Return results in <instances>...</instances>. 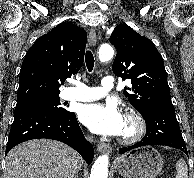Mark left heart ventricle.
<instances>
[{"label":"left heart ventricle","mask_w":194,"mask_h":178,"mask_svg":"<svg viewBox=\"0 0 194 178\" xmlns=\"http://www.w3.org/2000/svg\"><path fill=\"white\" fill-rule=\"evenodd\" d=\"M132 130V125L131 123L125 119V127H124V132L122 135H125L127 133H129Z\"/></svg>","instance_id":"1"}]
</instances>
